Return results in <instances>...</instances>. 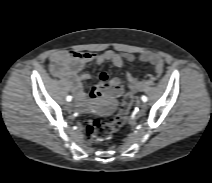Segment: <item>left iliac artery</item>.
Segmentation results:
<instances>
[{
  "instance_id": "left-iliac-artery-1",
  "label": "left iliac artery",
  "mask_w": 212,
  "mask_h": 183,
  "mask_svg": "<svg viewBox=\"0 0 212 183\" xmlns=\"http://www.w3.org/2000/svg\"><path fill=\"white\" fill-rule=\"evenodd\" d=\"M141 99H142L143 102H146L148 100L147 97L144 96V95L141 97Z\"/></svg>"
}]
</instances>
